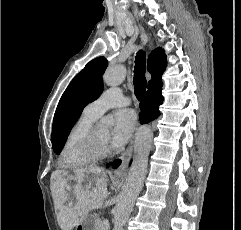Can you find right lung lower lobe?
<instances>
[{
    "label": "right lung lower lobe",
    "mask_w": 241,
    "mask_h": 230,
    "mask_svg": "<svg viewBox=\"0 0 241 230\" xmlns=\"http://www.w3.org/2000/svg\"><path fill=\"white\" fill-rule=\"evenodd\" d=\"M162 85L163 83L159 80L148 86L146 98L140 104L141 112L139 118L142 124L148 123L160 115L159 106L163 102Z\"/></svg>",
    "instance_id": "right-lung-lower-lobe-1"
}]
</instances>
